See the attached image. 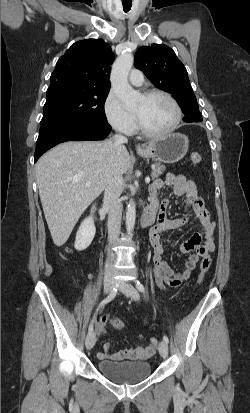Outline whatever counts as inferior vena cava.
Instances as JSON below:
<instances>
[{
    "label": "inferior vena cava",
    "instance_id": "602c4592",
    "mask_svg": "<svg viewBox=\"0 0 250 413\" xmlns=\"http://www.w3.org/2000/svg\"><path fill=\"white\" fill-rule=\"evenodd\" d=\"M114 142L116 145H122L127 143V138L122 135H114ZM122 190V177L120 175L112 176L105 187L104 192V204L108 207V240L112 244L118 240L121 228L122 219V204L120 201V195ZM115 256L113 253H109V263L107 267L111 268ZM111 262V263H110Z\"/></svg>",
    "mask_w": 250,
    "mask_h": 413
}]
</instances>
